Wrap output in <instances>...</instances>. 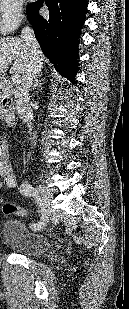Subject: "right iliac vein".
I'll use <instances>...</instances> for the list:
<instances>
[{"mask_svg": "<svg viewBox=\"0 0 129 309\" xmlns=\"http://www.w3.org/2000/svg\"><path fill=\"white\" fill-rule=\"evenodd\" d=\"M37 192L41 196V201L44 206L45 210V221L44 224L41 225V227L38 230H43L47 223L49 222V219L52 214L51 210V199H52V193L44 186L39 185L37 187Z\"/></svg>", "mask_w": 129, "mask_h": 309, "instance_id": "1", "label": "right iliac vein"}]
</instances>
